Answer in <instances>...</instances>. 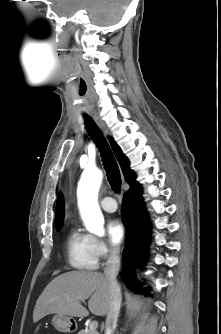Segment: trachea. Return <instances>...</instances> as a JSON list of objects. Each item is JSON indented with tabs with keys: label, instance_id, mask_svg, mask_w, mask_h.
Segmentation results:
<instances>
[{
	"label": "trachea",
	"instance_id": "3493384b",
	"mask_svg": "<svg viewBox=\"0 0 221 334\" xmlns=\"http://www.w3.org/2000/svg\"><path fill=\"white\" fill-rule=\"evenodd\" d=\"M85 124L89 135L95 141L99 151L101 152V157L109 184L111 185L112 189L118 193L121 189V177L114 155L94 120L89 116H85Z\"/></svg>",
	"mask_w": 221,
	"mask_h": 334
}]
</instances>
